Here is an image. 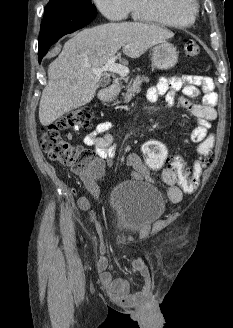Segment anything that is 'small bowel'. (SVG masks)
<instances>
[{
    "label": "small bowel",
    "mask_w": 233,
    "mask_h": 328,
    "mask_svg": "<svg viewBox=\"0 0 233 328\" xmlns=\"http://www.w3.org/2000/svg\"><path fill=\"white\" fill-rule=\"evenodd\" d=\"M181 91L180 95L177 93ZM203 92L201 104H196L191 100ZM164 96L168 106H172L177 101L184 109L188 110L197 118V125L192 129L190 140L199 143L207 137V132L211 127V122L216 119L217 94L214 92V83L210 77L197 75H184L181 77H162L158 82L147 90L149 101H156ZM181 127H186L187 123H180ZM112 124L109 121H102L95 129L84 137V144L93 147L97 156L103 160L110 161L114 156L113 137L109 133ZM126 165L131 169L130 175L134 180L148 178V169L141 158L131 153L126 157ZM162 179L168 186L167 195L171 202L178 203L183 198V191L178 184L176 173L171 167H167L162 172ZM86 187L90 194L100 200V190L93 178L85 180ZM78 206L84 211H90L92 221H97L96 214L91 210V200L87 196L78 199ZM132 270L140 277V284L135 293L130 292V285L127 281L114 278L107 269L100 268L99 277L101 284L110 298L120 304H134L144 299L151 288V278L145 262L141 258L132 261Z\"/></svg>",
    "instance_id": "c3829d8e"
}]
</instances>
